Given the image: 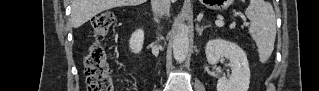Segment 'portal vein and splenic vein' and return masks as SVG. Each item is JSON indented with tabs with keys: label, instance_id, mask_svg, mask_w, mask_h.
Here are the masks:
<instances>
[{
	"label": "portal vein and splenic vein",
	"instance_id": "1",
	"mask_svg": "<svg viewBox=\"0 0 319 91\" xmlns=\"http://www.w3.org/2000/svg\"><path fill=\"white\" fill-rule=\"evenodd\" d=\"M215 24L218 26V27H222L224 25V22L223 21H216Z\"/></svg>",
	"mask_w": 319,
	"mask_h": 91
}]
</instances>
